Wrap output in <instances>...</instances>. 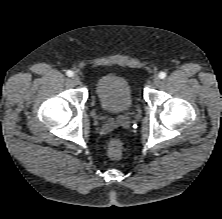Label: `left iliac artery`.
Masks as SVG:
<instances>
[{"label": "left iliac artery", "instance_id": "1", "mask_svg": "<svg viewBox=\"0 0 222 219\" xmlns=\"http://www.w3.org/2000/svg\"><path fill=\"white\" fill-rule=\"evenodd\" d=\"M159 77H160L161 79H164V78L166 77V73H165V72H160V73H159Z\"/></svg>", "mask_w": 222, "mask_h": 219}]
</instances>
